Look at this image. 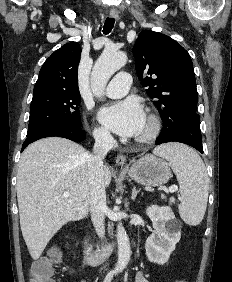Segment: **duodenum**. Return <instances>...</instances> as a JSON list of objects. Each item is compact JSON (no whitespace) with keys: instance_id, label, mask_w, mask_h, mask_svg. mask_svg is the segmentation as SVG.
Returning a JSON list of instances; mask_svg holds the SVG:
<instances>
[{"instance_id":"410a0bca","label":"duodenum","mask_w":232,"mask_h":282,"mask_svg":"<svg viewBox=\"0 0 232 282\" xmlns=\"http://www.w3.org/2000/svg\"><path fill=\"white\" fill-rule=\"evenodd\" d=\"M115 244L105 245L100 249H94L88 242H82V254L86 263L92 266L103 263L111 255Z\"/></svg>"}]
</instances>
